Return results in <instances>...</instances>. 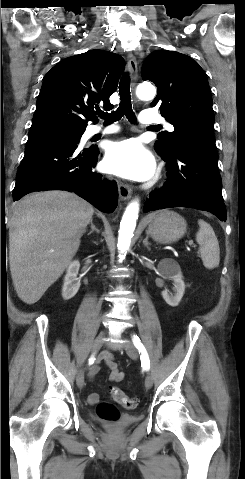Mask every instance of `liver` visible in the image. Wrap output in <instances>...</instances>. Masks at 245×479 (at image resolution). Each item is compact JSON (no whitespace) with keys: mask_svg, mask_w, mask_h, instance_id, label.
Listing matches in <instances>:
<instances>
[{"mask_svg":"<svg viewBox=\"0 0 245 479\" xmlns=\"http://www.w3.org/2000/svg\"><path fill=\"white\" fill-rule=\"evenodd\" d=\"M93 213L89 203L65 191L37 192L13 204L10 271L23 302L36 303L63 274Z\"/></svg>","mask_w":245,"mask_h":479,"instance_id":"liver-1","label":"liver"}]
</instances>
